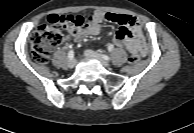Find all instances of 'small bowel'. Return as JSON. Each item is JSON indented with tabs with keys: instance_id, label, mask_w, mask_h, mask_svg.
<instances>
[{
	"instance_id": "c3829d8e",
	"label": "small bowel",
	"mask_w": 194,
	"mask_h": 133,
	"mask_svg": "<svg viewBox=\"0 0 194 133\" xmlns=\"http://www.w3.org/2000/svg\"><path fill=\"white\" fill-rule=\"evenodd\" d=\"M103 22L120 25L115 33L113 43L108 46L109 50H113L117 46L125 47L131 55L138 53L140 56H145L147 54L143 24L138 18L126 14L95 11L91 13L88 21L77 33H72V37L74 40L80 41L88 36L98 35L102 30Z\"/></svg>"
}]
</instances>
